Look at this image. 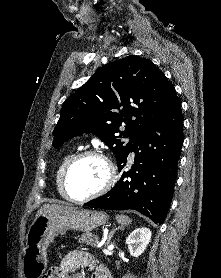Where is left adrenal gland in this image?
I'll return each instance as SVG.
<instances>
[{"mask_svg":"<svg viewBox=\"0 0 221 278\" xmlns=\"http://www.w3.org/2000/svg\"><path fill=\"white\" fill-rule=\"evenodd\" d=\"M119 228H114L112 229V231L110 232L109 236H108V239H107V242H106V246H108L110 244V241H111V238L114 236V234L116 233V231L118 230Z\"/></svg>","mask_w":221,"mask_h":278,"instance_id":"1","label":"left adrenal gland"}]
</instances>
